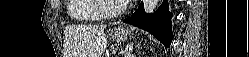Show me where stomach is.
<instances>
[{"instance_id":"obj_1","label":"stomach","mask_w":249,"mask_h":57,"mask_svg":"<svg viewBox=\"0 0 249 57\" xmlns=\"http://www.w3.org/2000/svg\"><path fill=\"white\" fill-rule=\"evenodd\" d=\"M133 34V30L121 25L114 27L111 30V38L117 43H123L127 41L128 37L132 36Z\"/></svg>"}]
</instances>
